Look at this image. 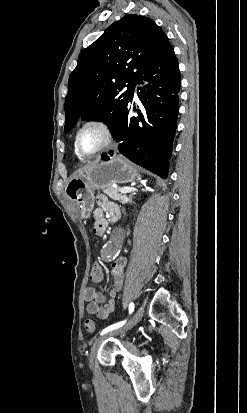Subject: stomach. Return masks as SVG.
I'll return each mask as SVG.
<instances>
[{"instance_id":"obj_1","label":"stomach","mask_w":247,"mask_h":413,"mask_svg":"<svg viewBox=\"0 0 247 413\" xmlns=\"http://www.w3.org/2000/svg\"><path fill=\"white\" fill-rule=\"evenodd\" d=\"M138 174L137 168L125 158L100 160L75 178H70L65 186V194L78 204L82 219H88L94 209L95 188H106L117 182H132Z\"/></svg>"}]
</instances>
